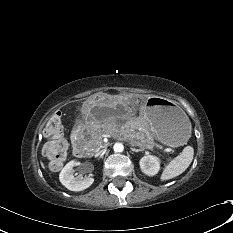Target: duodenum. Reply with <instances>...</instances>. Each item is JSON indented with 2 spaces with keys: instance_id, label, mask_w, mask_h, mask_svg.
<instances>
[{
  "instance_id": "obj_1",
  "label": "duodenum",
  "mask_w": 233,
  "mask_h": 233,
  "mask_svg": "<svg viewBox=\"0 0 233 233\" xmlns=\"http://www.w3.org/2000/svg\"><path fill=\"white\" fill-rule=\"evenodd\" d=\"M72 147H73V152L76 156L82 157L85 155L84 145L82 144L81 140L78 138L77 133H74L72 137Z\"/></svg>"
}]
</instances>
